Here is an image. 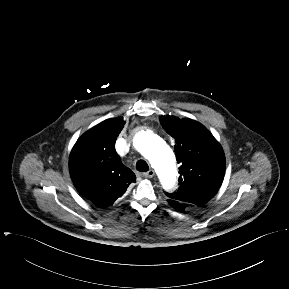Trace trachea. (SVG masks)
I'll use <instances>...</instances> for the list:
<instances>
[{"label": "trachea", "mask_w": 289, "mask_h": 289, "mask_svg": "<svg viewBox=\"0 0 289 289\" xmlns=\"http://www.w3.org/2000/svg\"><path fill=\"white\" fill-rule=\"evenodd\" d=\"M136 169L140 172H146L149 170V166L144 160H139L136 163Z\"/></svg>", "instance_id": "3493384b"}]
</instances>
